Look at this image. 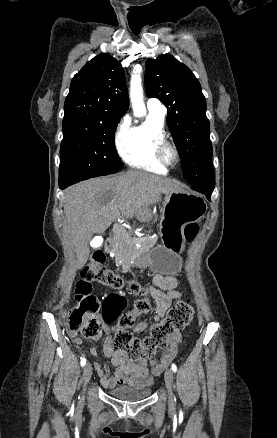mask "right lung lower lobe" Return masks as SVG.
Listing matches in <instances>:
<instances>
[{
  "label": "right lung lower lobe",
  "instance_id": "obj_1",
  "mask_svg": "<svg viewBox=\"0 0 277 438\" xmlns=\"http://www.w3.org/2000/svg\"><path fill=\"white\" fill-rule=\"evenodd\" d=\"M70 185H72V184H69V183H59L60 189H65L66 187H68Z\"/></svg>",
  "mask_w": 277,
  "mask_h": 438
}]
</instances>
